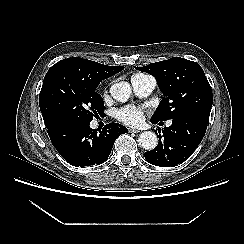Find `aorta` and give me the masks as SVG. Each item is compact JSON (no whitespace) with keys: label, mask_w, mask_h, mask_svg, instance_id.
I'll return each mask as SVG.
<instances>
[{"label":"aorta","mask_w":244,"mask_h":244,"mask_svg":"<svg viewBox=\"0 0 244 244\" xmlns=\"http://www.w3.org/2000/svg\"><path fill=\"white\" fill-rule=\"evenodd\" d=\"M110 94L119 102H127L131 97L132 89L128 82H119L111 86ZM138 142L145 150H153L157 146L158 138L154 132L145 131L139 135Z\"/></svg>","instance_id":"aorta-1"}]
</instances>
